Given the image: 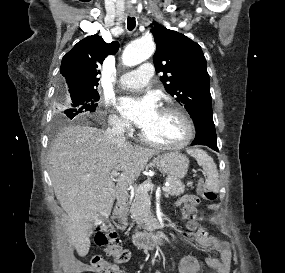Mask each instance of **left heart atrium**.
<instances>
[{
	"instance_id": "1",
	"label": "left heart atrium",
	"mask_w": 285,
	"mask_h": 273,
	"mask_svg": "<svg viewBox=\"0 0 285 273\" xmlns=\"http://www.w3.org/2000/svg\"><path fill=\"white\" fill-rule=\"evenodd\" d=\"M119 112L141 129L157 116L159 109L154 96L122 97L117 103Z\"/></svg>"
}]
</instances>
